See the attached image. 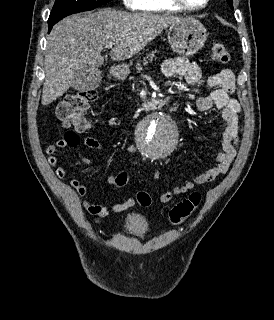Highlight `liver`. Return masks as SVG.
Wrapping results in <instances>:
<instances>
[{"instance_id": "6515ba94", "label": "liver", "mask_w": 274, "mask_h": 320, "mask_svg": "<svg viewBox=\"0 0 274 320\" xmlns=\"http://www.w3.org/2000/svg\"><path fill=\"white\" fill-rule=\"evenodd\" d=\"M177 20L178 16L168 14H129L110 8L64 18L47 38L42 106L63 96L71 88L76 72L103 66L101 52L106 44L114 46L109 54L111 60H129Z\"/></svg>"}]
</instances>
